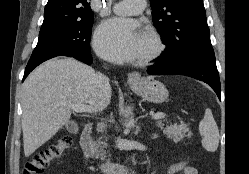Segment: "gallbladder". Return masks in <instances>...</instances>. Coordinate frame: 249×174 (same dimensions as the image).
Instances as JSON below:
<instances>
[{
	"label": "gallbladder",
	"mask_w": 249,
	"mask_h": 174,
	"mask_svg": "<svg viewBox=\"0 0 249 174\" xmlns=\"http://www.w3.org/2000/svg\"><path fill=\"white\" fill-rule=\"evenodd\" d=\"M66 129L69 132H74L78 130V125L75 122H70L66 125Z\"/></svg>",
	"instance_id": "obj_1"
}]
</instances>
